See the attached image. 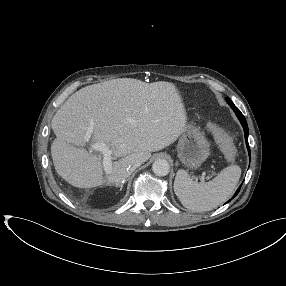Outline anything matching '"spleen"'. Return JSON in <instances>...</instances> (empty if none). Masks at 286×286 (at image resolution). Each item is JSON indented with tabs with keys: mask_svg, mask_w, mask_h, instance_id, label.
Listing matches in <instances>:
<instances>
[{
	"mask_svg": "<svg viewBox=\"0 0 286 286\" xmlns=\"http://www.w3.org/2000/svg\"><path fill=\"white\" fill-rule=\"evenodd\" d=\"M241 168L230 165L208 182H196L185 170H178L174 181V191L184 207L195 212L210 211L217 208L233 194Z\"/></svg>",
	"mask_w": 286,
	"mask_h": 286,
	"instance_id": "spleen-1",
	"label": "spleen"
}]
</instances>
